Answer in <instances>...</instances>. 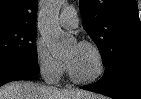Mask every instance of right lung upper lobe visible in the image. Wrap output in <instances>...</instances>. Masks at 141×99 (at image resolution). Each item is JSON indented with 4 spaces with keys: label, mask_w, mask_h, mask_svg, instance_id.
<instances>
[{
    "label": "right lung upper lobe",
    "mask_w": 141,
    "mask_h": 99,
    "mask_svg": "<svg viewBox=\"0 0 141 99\" xmlns=\"http://www.w3.org/2000/svg\"><path fill=\"white\" fill-rule=\"evenodd\" d=\"M38 0H0V26L36 27Z\"/></svg>",
    "instance_id": "obj_1"
}]
</instances>
